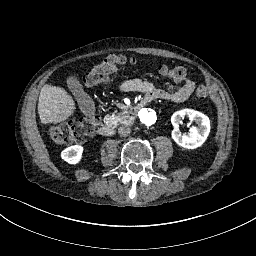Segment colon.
I'll return each mask as SVG.
<instances>
[{
  "instance_id": "obj_1",
  "label": "colon",
  "mask_w": 256,
  "mask_h": 256,
  "mask_svg": "<svg viewBox=\"0 0 256 256\" xmlns=\"http://www.w3.org/2000/svg\"><path fill=\"white\" fill-rule=\"evenodd\" d=\"M134 59L124 56H108L95 64L85 76V83L89 87L97 86L110 79L112 75L124 69L126 65L134 64ZM160 73L165 78L182 80L187 76L183 67H159ZM195 95L200 100H207L209 93L203 85L195 89ZM97 121L94 118H82L64 125H49L48 134L56 142L64 144L85 141L95 130Z\"/></svg>"
}]
</instances>
